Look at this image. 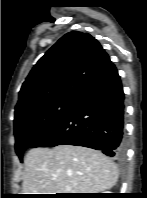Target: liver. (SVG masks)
I'll list each match as a JSON object with an SVG mask.
<instances>
[{
  "instance_id": "liver-1",
  "label": "liver",
  "mask_w": 147,
  "mask_h": 198,
  "mask_svg": "<svg viewBox=\"0 0 147 198\" xmlns=\"http://www.w3.org/2000/svg\"><path fill=\"white\" fill-rule=\"evenodd\" d=\"M24 164L23 194L99 193L118 180L117 166L110 158L81 146L33 148Z\"/></svg>"
}]
</instances>
